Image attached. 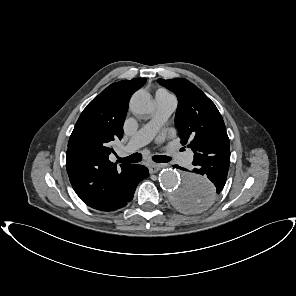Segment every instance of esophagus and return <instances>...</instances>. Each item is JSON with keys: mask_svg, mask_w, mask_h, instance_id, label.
Listing matches in <instances>:
<instances>
[{"mask_svg": "<svg viewBox=\"0 0 296 296\" xmlns=\"http://www.w3.org/2000/svg\"><path fill=\"white\" fill-rule=\"evenodd\" d=\"M165 164H158V163H150L149 164V172L152 173H156L157 171H159L162 167H165Z\"/></svg>", "mask_w": 296, "mask_h": 296, "instance_id": "1", "label": "esophagus"}]
</instances>
